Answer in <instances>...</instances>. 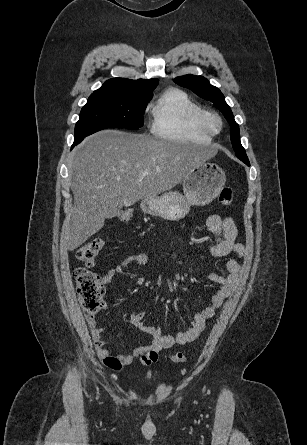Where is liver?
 I'll list each match as a JSON object with an SVG mask.
<instances>
[{"mask_svg":"<svg viewBox=\"0 0 307 445\" xmlns=\"http://www.w3.org/2000/svg\"><path fill=\"white\" fill-rule=\"evenodd\" d=\"M205 148L149 134L99 130L75 148L71 162L73 210L61 247L74 251L104 227L105 218L140 198L158 196L182 182L206 160ZM143 170L150 174L141 176Z\"/></svg>","mask_w":307,"mask_h":445,"instance_id":"1","label":"liver"}]
</instances>
